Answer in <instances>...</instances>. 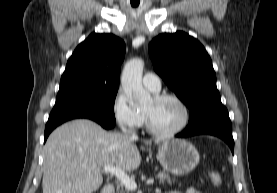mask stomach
<instances>
[{
	"mask_svg": "<svg viewBox=\"0 0 277 193\" xmlns=\"http://www.w3.org/2000/svg\"><path fill=\"white\" fill-rule=\"evenodd\" d=\"M157 158L164 170L179 176L188 174L199 163L197 149L184 139H170L160 143Z\"/></svg>",
	"mask_w": 277,
	"mask_h": 193,
	"instance_id": "1",
	"label": "stomach"
}]
</instances>
